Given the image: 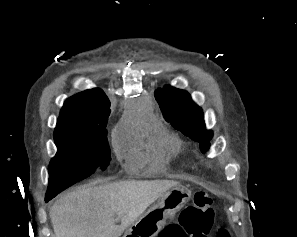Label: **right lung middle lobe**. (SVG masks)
Listing matches in <instances>:
<instances>
[{"instance_id": "obj_1", "label": "right lung middle lobe", "mask_w": 297, "mask_h": 237, "mask_svg": "<svg viewBox=\"0 0 297 237\" xmlns=\"http://www.w3.org/2000/svg\"><path fill=\"white\" fill-rule=\"evenodd\" d=\"M54 141L58 151L49 164L46 197H55L85 179L97 167L104 170L109 165L111 157L106 125L55 128Z\"/></svg>"}]
</instances>
